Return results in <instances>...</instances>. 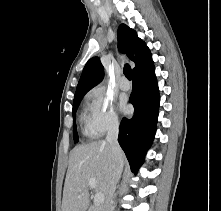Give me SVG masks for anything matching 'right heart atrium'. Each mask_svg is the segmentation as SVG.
Returning a JSON list of instances; mask_svg holds the SVG:
<instances>
[{"label": "right heart atrium", "mask_w": 221, "mask_h": 211, "mask_svg": "<svg viewBox=\"0 0 221 211\" xmlns=\"http://www.w3.org/2000/svg\"><path fill=\"white\" fill-rule=\"evenodd\" d=\"M88 124L91 131L97 135L115 130L119 126V118L112 99L100 88L88 93Z\"/></svg>", "instance_id": "right-heart-atrium-1"}]
</instances>
